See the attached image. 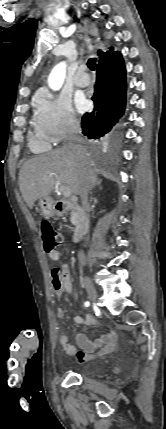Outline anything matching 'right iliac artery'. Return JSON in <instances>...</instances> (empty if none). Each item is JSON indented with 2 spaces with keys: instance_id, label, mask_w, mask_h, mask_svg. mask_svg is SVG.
<instances>
[{
  "instance_id": "82829eb1",
  "label": "right iliac artery",
  "mask_w": 166,
  "mask_h": 429,
  "mask_svg": "<svg viewBox=\"0 0 166 429\" xmlns=\"http://www.w3.org/2000/svg\"><path fill=\"white\" fill-rule=\"evenodd\" d=\"M90 305V303L88 302V301H86L85 303H84V306L85 307H88Z\"/></svg>"
}]
</instances>
